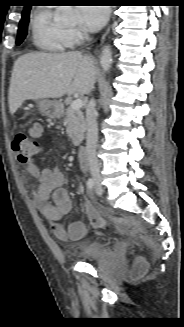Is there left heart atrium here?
Segmentation results:
<instances>
[{
  "label": "left heart atrium",
  "mask_w": 184,
  "mask_h": 327,
  "mask_svg": "<svg viewBox=\"0 0 184 327\" xmlns=\"http://www.w3.org/2000/svg\"><path fill=\"white\" fill-rule=\"evenodd\" d=\"M81 25L89 31L99 30L107 21L109 9L106 7H93L85 5L78 9Z\"/></svg>",
  "instance_id": "obj_1"
}]
</instances>
